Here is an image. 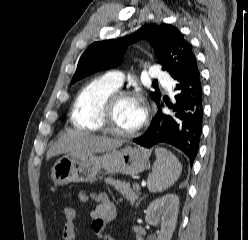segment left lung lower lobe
Wrapping results in <instances>:
<instances>
[{
	"label": "left lung lower lobe",
	"mask_w": 248,
	"mask_h": 240,
	"mask_svg": "<svg viewBox=\"0 0 248 240\" xmlns=\"http://www.w3.org/2000/svg\"><path fill=\"white\" fill-rule=\"evenodd\" d=\"M175 104L167 103L171 115L164 114L158 106L148 130L133 141L150 148L167 143L181 150L191 165L198 153L203 121V93L197 61L176 79Z\"/></svg>",
	"instance_id": "obj_1"
}]
</instances>
